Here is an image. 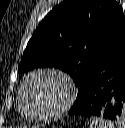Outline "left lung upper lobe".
Returning <instances> with one entry per match:
<instances>
[{
  "label": "left lung upper lobe",
  "mask_w": 125,
  "mask_h": 128,
  "mask_svg": "<svg viewBox=\"0 0 125 128\" xmlns=\"http://www.w3.org/2000/svg\"><path fill=\"white\" fill-rule=\"evenodd\" d=\"M125 30V16L115 0H66L50 11L27 44L18 67L67 72L78 88L84 85L109 46Z\"/></svg>",
  "instance_id": "obj_1"
}]
</instances>
